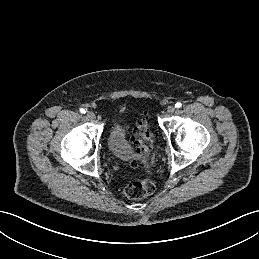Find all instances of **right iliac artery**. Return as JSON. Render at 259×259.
Segmentation results:
<instances>
[{
    "mask_svg": "<svg viewBox=\"0 0 259 259\" xmlns=\"http://www.w3.org/2000/svg\"><path fill=\"white\" fill-rule=\"evenodd\" d=\"M80 112H81V113H86V111H85L84 108H80Z\"/></svg>",
    "mask_w": 259,
    "mask_h": 259,
    "instance_id": "1",
    "label": "right iliac artery"
}]
</instances>
